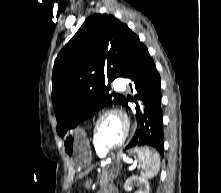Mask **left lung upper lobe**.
I'll list each match as a JSON object with an SVG mask.
<instances>
[{
    "mask_svg": "<svg viewBox=\"0 0 221 193\" xmlns=\"http://www.w3.org/2000/svg\"><path fill=\"white\" fill-rule=\"evenodd\" d=\"M139 43L112 15L86 19L54 63L52 100L60 136L105 105H125L126 98L110 93L109 84L122 77Z\"/></svg>",
    "mask_w": 221,
    "mask_h": 193,
    "instance_id": "obj_1",
    "label": "left lung upper lobe"
}]
</instances>
